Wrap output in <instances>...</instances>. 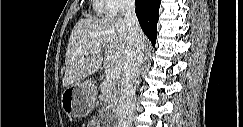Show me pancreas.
<instances>
[{
    "label": "pancreas",
    "instance_id": "obj_1",
    "mask_svg": "<svg viewBox=\"0 0 243 127\" xmlns=\"http://www.w3.org/2000/svg\"><path fill=\"white\" fill-rule=\"evenodd\" d=\"M100 91L104 100V111L106 109H116L119 100V89L116 81L111 78H106L100 85Z\"/></svg>",
    "mask_w": 243,
    "mask_h": 127
}]
</instances>
